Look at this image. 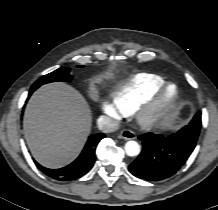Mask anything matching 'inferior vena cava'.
<instances>
[{
  "mask_svg": "<svg viewBox=\"0 0 218 210\" xmlns=\"http://www.w3.org/2000/svg\"><path fill=\"white\" fill-rule=\"evenodd\" d=\"M97 123L99 130L104 133H111L118 130L119 128V123L116 120L106 116H100Z\"/></svg>",
  "mask_w": 218,
  "mask_h": 210,
  "instance_id": "inferior-vena-cava-1",
  "label": "inferior vena cava"
}]
</instances>
